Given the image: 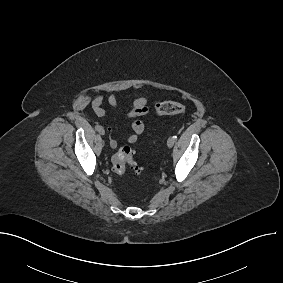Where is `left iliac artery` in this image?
I'll return each instance as SVG.
<instances>
[{
    "mask_svg": "<svg viewBox=\"0 0 283 283\" xmlns=\"http://www.w3.org/2000/svg\"><path fill=\"white\" fill-rule=\"evenodd\" d=\"M174 138H175V140L177 139V136L175 135V136H173Z\"/></svg>",
    "mask_w": 283,
    "mask_h": 283,
    "instance_id": "left-iliac-artery-1",
    "label": "left iliac artery"
}]
</instances>
